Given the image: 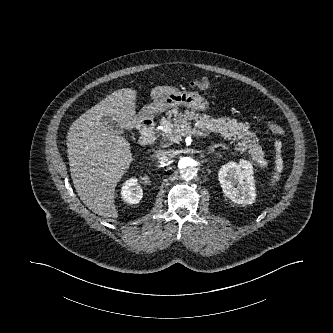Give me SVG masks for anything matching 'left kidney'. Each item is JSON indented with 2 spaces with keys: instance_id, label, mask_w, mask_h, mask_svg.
Segmentation results:
<instances>
[{
  "instance_id": "1",
  "label": "left kidney",
  "mask_w": 333,
  "mask_h": 333,
  "mask_svg": "<svg viewBox=\"0 0 333 333\" xmlns=\"http://www.w3.org/2000/svg\"><path fill=\"white\" fill-rule=\"evenodd\" d=\"M252 164L240 160L239 164L230 162L219 170L218 178L223 193L235 203L252 204L256 198Z\"/></svg>"
}]
</instances>
